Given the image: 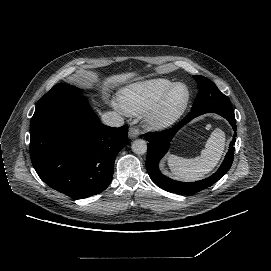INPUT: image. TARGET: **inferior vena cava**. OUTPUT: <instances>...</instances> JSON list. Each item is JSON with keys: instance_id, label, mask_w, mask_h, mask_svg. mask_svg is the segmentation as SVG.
Here are the masks:
<instances>
[{"instance_id": "obj_1", "label": "inferior vena cava", "mask_w": 271, "mask_h": 271, "mask_svg": "<svg viewBox=\"0 0 271 271\" xmlns=\"http://www.w3.org/2000/svg\"><path fill=\"white\" fill-rule=\"evenodd\" d=\"M101 119L105 125L111 127H120L124 124V119L114 111L102 114Z\"/></svg>"}]
</instances>
